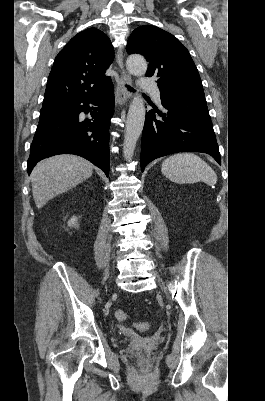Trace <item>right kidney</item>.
I'll list each match as a JSON object with an SVG mask.
<instances>
[{
  "label": "right kidney",
  "mask_w": 265,
  "mask_h": 401,
  "mask_svg": "<svg viewBox=\"0 0 265 401\" xmlns=\"http://www.w3.org/2000/svg\"><path fill=\"white\" fill-rule=\"evenodd\" d=\"M77 217H72L70 221H68V227H76Z\"/></svg>",
  "instance_id": "right-kidney-1"
}]
</instances>
